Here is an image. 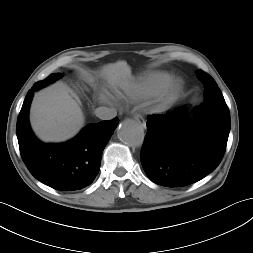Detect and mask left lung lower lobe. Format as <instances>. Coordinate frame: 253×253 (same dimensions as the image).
I'll list each match as a JSON object with an SVG mask.
<instances>
[{"mask_svg": "<svg viewBox=\"0 0 253 253\" xmlns=\"http://www.w3.org/2000/svg\"><path fill=\"white\" fill-rule=\"evenodd\" d=\"M195 112L198 126L187 125L183 108L148 117L140 158L154 183L186 186L204 178L221 162L230 131L225 100L206 98Z\"/></svg>", "mask_w": 253, "mask_h": 253, "instance_id": "obj_1", "label": "left lung lower lobe"}]
</instances>
